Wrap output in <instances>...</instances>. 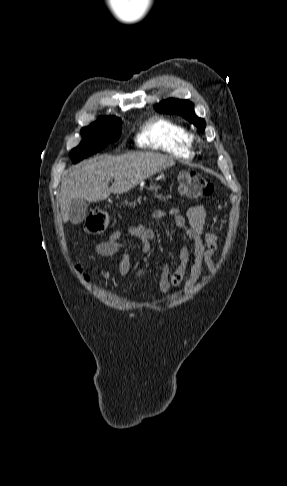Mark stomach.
Segmentation results:
<instances>
[{
  "label": "stomach",
  "instance_id": "0dacf381",
  "mask_svg": "<svg viewBox=\"0 0 287 486\" xmlns=\"http://www.w3.org/2000/svg\"><path fill=\"white\" fill-rule=\"evenodd\" d=\"M159 188L160 187L158 185L153 184V185H150V187L148 188V190L157 192V190Z\"/></svg>",
  "mask_w": 287,
  "mask_h": 486
}]
</instances>
